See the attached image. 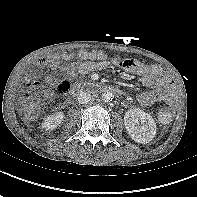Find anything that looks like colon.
<instances>
[{
	"label": "colon",
	"instance_id": "1",
	"mask_svg": "<svg viewBox=\"0 0 197 197\" xmlns=\"http://www.w3.org/2000/svg\"><path fill=\"white\" fill-rule=\"evenodd\" d=\"M64 56L66 58H70L71 55L70 54H67L65 53ZM80 57L81 58H91V59H97V60H102L105 58V55L101 52V51H96V50H93L89 53L88 55V52L87 51H82L80 53ZM124 66H130V63L129 62H125L124 63ZM33 85H37L36 83H34ZM71 87V82L68 81V80H65V81H62L59 86H58V89L60 92L62 93H65L67 92ZM27 111L29 114H36L37 113V103L34 99H30L27 103ZM173 116V112L172 110L169 108V107H162L159 112H158V118L161 122L163 123H167L171 120Z\"/></svg>",
	"mask_w": 197,
	"mask_h": 197
}]
</instances>
